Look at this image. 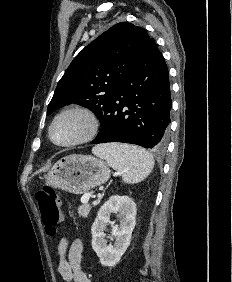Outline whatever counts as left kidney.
<instances>
[{"instance_id": "1", "label": "left kidney", "mask_w": 232, "mask_h": 282, "mask_svg": "<svg viewBox=\"0 0 232 282\" xmlns=\"http://www.w3.org/2000/svg\"><path fill=\"white\" fill-rule=\"evenodd\" d=\"M112 213H119L120 225L112 226L111 236L116 237L114 245L105 240L106 225ZM136 224V204L128 196H111L99 209L92 225V248L103 266L116 265L130 245L132 231ZM112 238V237H111Z\"/></svg>"}]
</instances>
